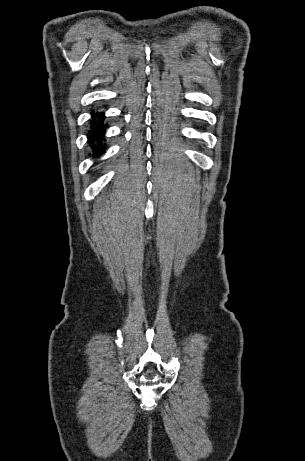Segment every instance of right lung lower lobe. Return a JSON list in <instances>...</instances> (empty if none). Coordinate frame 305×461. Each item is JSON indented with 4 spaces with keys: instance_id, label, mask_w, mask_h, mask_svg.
Instances as JSON below:
<instances>
[{
    "instance_id": "obj_1",
    "label": "right lung lower lobe",
    "mask_w": 305,
    "mask_h": 461,
    "mask_svg": "<svg viewBox=\"0 0 305 461\" xmlns=\"http://www.w3.org/2000/svg\"><path fill=\"white\" fill-rule=\"evenodd\" d=\"M97 119V116L95 114H92V130L88 132V137L90 139V144L92 145L93 151L99 155L100 153H103L105 151V146H97L94 144V142L100 141L102 139V136L105 133V129L107 128V125L103 123L104 120V113H100L99 119ZM98 145H101L98 143Z\"/></svg>"
}]
</instances>
